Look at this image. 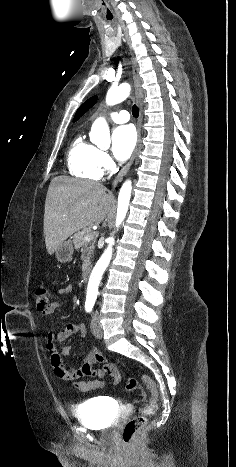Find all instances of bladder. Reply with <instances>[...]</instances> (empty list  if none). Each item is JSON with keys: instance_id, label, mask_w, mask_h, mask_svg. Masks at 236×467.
<instances>
[{"instance_id": "31cf9c89", "label": "bladder", "mask_w": 236, "mask_h": 467, "mask_svg": "<svg viewBox=\"0 0 236 467\" xmlns=\"http://www.w3.org/2000/svg\"><path fill=\"white\" fill-rule=\"evenodd\" d=\"M114 405L104 397L90 398L74 408V416L86 426L104 429L113 425Z\"/></svg>"}]
</instances>
